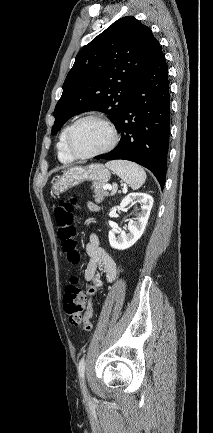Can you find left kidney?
Wrapping results in <instances>:
<instances>
[{"label": "left kidney", "mask_w": 213, "mask_h": 433, "mask_svg": "<svg viewBox=\"0 0 213 433\" xmlns=\"http://www.w3.org/2000/svg\"><path fill=\"white\" fill-rule=\"evenodd\" d=\"M135 200L141 203V213L137 222L128 223L127 233L118 228H112L109 231V243L114 249L125 250L133 246L144 233L153 206V198L146 193H130L121 201L120 208L125 209Z\"/></svg>", "instance_id": "1"}]
</instances>
